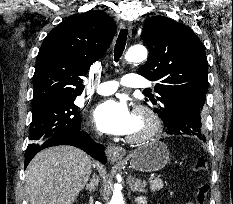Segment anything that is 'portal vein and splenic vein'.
Here are the masks:
<instances>
[{
    "label": "portal vein and splenic vein",
    "instance_id": "obj_1",
    "mask_svg": "<svg viewBox=\"0 0 233 204\" xmlns=\"http://www.w3.org/2000/svg\"><path fill=\"white\" fill-rule=\"evenodd\" d=\"M154 180H160V179H159V176L155 177Z\"/></svg>",
    "mask_w": 233,
    "mask_h": 204
}]
</instances>
